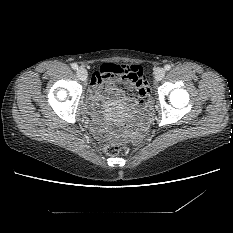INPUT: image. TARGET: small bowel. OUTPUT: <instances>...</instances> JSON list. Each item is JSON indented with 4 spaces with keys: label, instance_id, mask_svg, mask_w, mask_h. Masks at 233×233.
Masks as SVG:
<instances>
[{
    "label": "small bowel",
    "instance_id": "obj_1",
    "mask_svg": "<svg viewBox=\"0 0 233 233\" xmlns=\"http://www.w3.org/2000/svg\"><path fill=\"white\" fill-rule=\"evenodd\" d=\"M133 78H137L139 87L142 89V96H128L116 85L115 82L129 84ZM107 86L102 92V85ZM148 72L142 66L124 65L120 63L100 62L98 71L94 74L86 108L96 118L90 126L91 132L102 142L111 141L116 138L114 132L105 127L107 119L99 117L100 110L117 111L120 108L129 109L131 115L137 116L140 126L136 129L128 128L129 137L140 139L145 130V121L142 117L144 107L149 99Z\"/></svg>",
    "mask_w": 233,
    "mask_h": 233
}]
</instances>
